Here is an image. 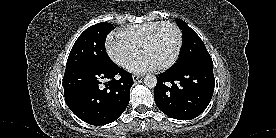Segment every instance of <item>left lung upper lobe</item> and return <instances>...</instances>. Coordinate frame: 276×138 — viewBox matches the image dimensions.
<instances>
[{"label":"left lung upper lobe","mask_w":276,"mask_h":138,"mask_svg":"<svg viewBox=\"0 0 276 138\" xmlns=\"http://www.w3.org/2000/svg\"><path fill=\"white\" fill-rule=\"evenodd\" d=\"M183 32V48L180 60L171 69H184L203 62L212 61L204 43L183 20H177Z\"/></svg>","instance_id":"obj_1"}]
</instances>
